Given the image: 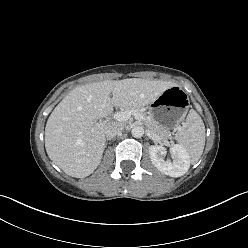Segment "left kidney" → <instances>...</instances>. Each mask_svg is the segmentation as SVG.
I'll list each match as a JSON object with an SVG mask.
<instances>
[{"instance_id":"5707ae66","label":"left kidney","mask_w":248,"mask_h":248,"mask_svg":"<svg viewBox=\"0 0 248 248\" xmlns=\"http://www.w3.org/2000/svg\"><path fill=\"white\" fill-rule=\"evenodd\" d=\"M170 152L173 160H165L166 149L160 145L149 147V154L153 165L162 173L170 177L183 176L190 167V156L188 152L178 144L171 147Z\"/></svg>"}]
</instances>
